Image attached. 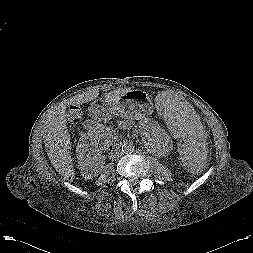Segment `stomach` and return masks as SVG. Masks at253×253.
<instances>
[{
    "instance_id": "obj_1",
    "label": "stomach",
    "mask_w": 253,
    "mask_h": 253,
    "mask_svg": "<svg viewBox=\"0 0 253 253\" xmlns=\"http://www.w3.org/2000/svg\"><path fill=\"white\" fill-rule=\"evenodd\" d=\"M101 112L108 116L110 113L120 117L142 120L152 114L154 104L148 94L142 90H131L119 99H100L94 102Z\"/></svg>"
}]
</instances>
